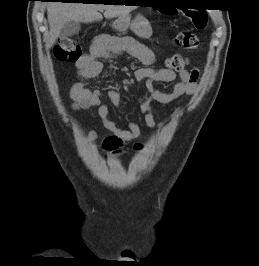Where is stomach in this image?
<instances>
[{
  "label": "stomach",
  "mask_w": 259,
  "mask_h": 266,
  "mask_svg": "<svg viewBox=\"0 0 259 266\" xmlns=\"http://www.w3.org/2000/svg\"><path fill=\"white\" fill-rule=\"evenodd\" d=\"M114 28L121 32H124L130 28L137 36L141 38H147L152 33L149 22L144 17H138L131 22L129 15L119 16L114 22Z\"/></svg>",
  "instance_id": "stomach-1"
}]
</instances>
